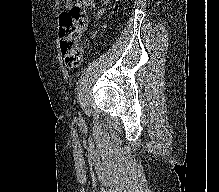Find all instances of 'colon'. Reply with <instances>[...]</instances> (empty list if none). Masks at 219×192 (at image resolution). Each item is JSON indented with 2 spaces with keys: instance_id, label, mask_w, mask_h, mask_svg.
I'll return each instance as SVG.
<instances>
[{
  "instance_id": "colon-1",
  "label": "colon",
  "mask_w": 219,
  "mask_h": 192,
  "mask_svg": "<svg viewBox=\"0 0 219 192\" xmlns=\"http://www.w3.org/2000/svg\"><path fill=\"white\" fill-rule=\"evenodd\" d=\"M112 7L111 10H114ZM88 27L85 11L73 6L68 12L61 14L59 19L60 49L64 62L69 69H76L81 62L79 42Z\"/></svg>"
}]
</instances>
